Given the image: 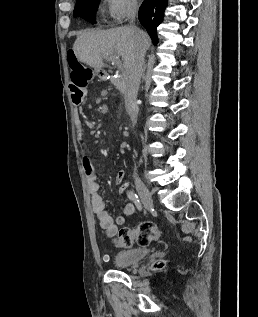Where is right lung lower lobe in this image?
I'll list each match as a JSON object with an SVG mask.
<instances>
[{"instance_id":"98d812e1","label":"right lung lower lobe","mask_w":258,"mask_h":317,"mask_svg":"<svg viewBox=\"0 0 258 317\" xmlns=\"http://www.w3.org/2000/svg\"><path fill=\"white\" fill-rule=\"evenodd\" d=\"M166 6L167 0H144L139 9V21L147 29L155 45L158 42L156 27L163 20Z\"/></svg>"}]
</instances>
